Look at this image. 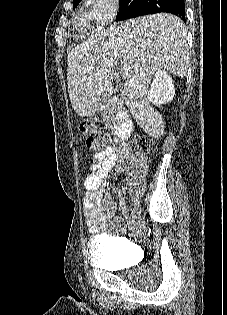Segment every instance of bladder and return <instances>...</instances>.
<instances>
[{"instance_id":"obj_1","label":"bladder","mask_w":227,"mask_h":315,"mask_svg":"<svg viewBox=\"0 0 227 315\" xmlns=\"http://www.w3.org/2000/svg\"><path fill=\"white\" fill-rule=\"evenodd\" d=\"M130 246L131 242L125 239L94 236L90 243V263L103 269L124 267L128 264L125 250Z\"/></svg>"}]
</instances>
